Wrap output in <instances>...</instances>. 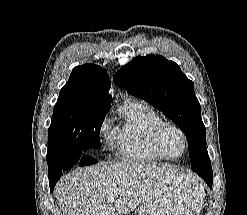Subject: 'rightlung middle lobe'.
Returning <instances> with one entry per match:
<instances>
[{
    "label": "right lung middle lobe",
    "instance_id": "1",
    "mask_svg": "<svg viewBox=\"0 0 247 215\" xmlns=\"http://www.w3.org/2000/svg\"><path fill=\"white\" fill-rule=\"evenodd\" d=\"M108 109L85 102L72 92H60L48 130L47 163L69 150L86 153L99 148V131Z\"/></svg>",
    "mask_w": 247,
    "mask_h": 215
}]
</instances>
